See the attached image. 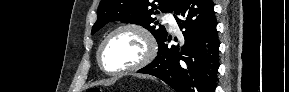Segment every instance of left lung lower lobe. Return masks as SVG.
I'll return each instance as SVG.
<instances>
[{"instance_id":"0a47b994","label":"left lung lower lobe","mask_w":289,"mask_h":92,"mask_svg":"<svg viewBox=\"0 0 289 92\" xmlns=\"http://www.w3.org/2000/svg\"><path fill=\"white\" fill-rule=\"evenodd\" d=\"M174 13L184 44L170 46L167 36L156 58L138 73L154 75L177 92H215L220 43L212 0H179Z\"/></svg>"}]
</instances>
